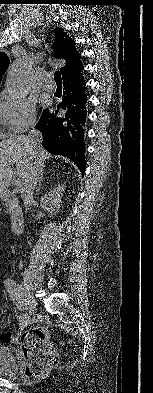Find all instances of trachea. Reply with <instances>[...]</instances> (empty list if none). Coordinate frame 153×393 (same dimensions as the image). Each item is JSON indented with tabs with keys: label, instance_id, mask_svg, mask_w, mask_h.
<instances>
[{
	"label": "trachea",
	"instance_id": "trachea-1",
	"mask_svg": "<svg viewBox=\"0 0 153 393\" xmlns=\"http://www.w3.org/2000/svg\"><path fill=\"white\" fill-rule=\"evenodd\" d=\"M54 80H55L56 84H57V83L62 84L61 72H60L59 70H57V71L54 73Z\"/></svg>",
	"mask_w": 153,
	"mask_h": 393
}]
</instances>
